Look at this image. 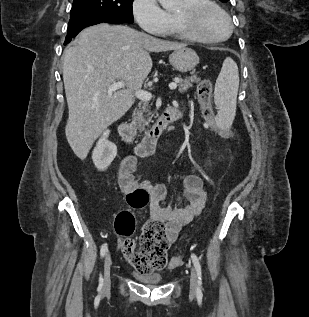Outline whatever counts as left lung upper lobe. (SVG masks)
<instances>
[{
	"label": "left lung upper lobe",
	"instance_id": "left-lung-upper-lobe-1",
	"mask_svg": "<svg viewBox=\"0 0 309 317\" xmlns=\"http://www.w3.org/2000/svg\"><path fill=\"white\" fill-rule=\"evenodd\" d=\"M220 1H222V2H227V1H229V0H220Z\"/></svg>",
	"mask_w": 309,
	"mask_h": 317
}]
</instances>
